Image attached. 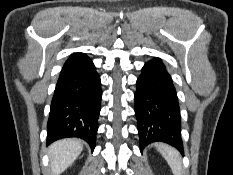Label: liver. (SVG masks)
<instances>
[{
	"instance_id": "1",
	"label": "liver",
	"mask_w": 233,
	"mask_h": 175,
	"mask_svg": "<svg viewBox=\"0 0 233 175\" xmlns=\"http://www.w3.org/2000/svg\"><path fill=\"white\" fill-rule=\"evenodd\" d=\"M83 146L78 139H62L49 146L48 154L53 175H60L79 156Z\"/></svg>"
}]
</instances>
